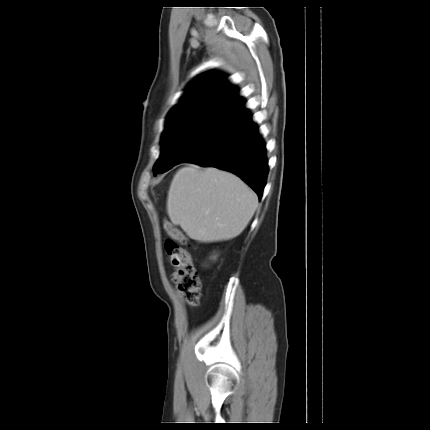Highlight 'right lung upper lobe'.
Masks as SVG:
<instances>
[{
	"mask_svg": "<svg viewBox=\"0 0 430 430\" xmlns=\"http://www.w3.org/2000/svg\"><path fill=\"white\" fill-rule=\"evenodd\" d=\"M220 102L230 106L239 116L247 114L245 103L237 89L218 73H204L196 78L186 89L180 102L171 111L194 108L207 103Z\"/></svg>",
	"mask_w": 430,
	"mask_h": 430,
	"instance_id": "1",
	"label": "right lung upper lobe"
}]
</instances>
